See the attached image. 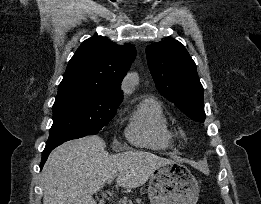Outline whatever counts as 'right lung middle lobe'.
<instances>
[{
	"label": "right lung middle lobe",
	"instance_id": "obj_1",
	"mask_svg": "<svg viewBox=\"0 0 261 204\" xmlns=\"http://www.w3.org/2000/svg\"><path fill=\"white\" fill-rule=\"evenodd\" d=\"M120 102L88 91L57 95L46 144L97 134L113 119Z\"/></svg>",
	"mask_w": 261,
	"mask_h": 204
}]
</instances>
